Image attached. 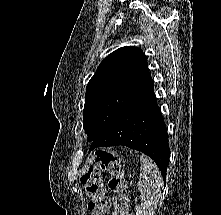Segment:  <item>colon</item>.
<instances>
[{"instance_id": "5ec220e1", "label": "colon", "mask_w": 221, "mask_h": 215, "mask_svg": "<svg viewBox=\"0 0 221 215\" xmlns=\"http://www.w3.org/2000/svg\"><path fill=\"white\" fill-rule=\"evenodd\" d=\"M109 170L110 189L117 194L112 200L107 196L102 181V173ZM81 183L89 198L88 209L94 215H107L114 207L118 215H127L128 197L125 194V179L119 156L106 149H98L92 154L86 170L81 176Z\"/></svg>"}]
</instances>
